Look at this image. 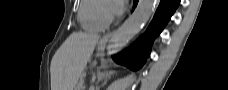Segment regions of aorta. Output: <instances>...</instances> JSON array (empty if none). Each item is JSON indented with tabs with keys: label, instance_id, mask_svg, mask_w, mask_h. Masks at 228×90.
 Returning <instances> with one entry per match:
<instances>
[{
	"label": "aorta",
	"instance_id": "obj_1",
	"mask_svg": "<svg viewBox=\"0 0 228 90\" xmlns=\"http://www.w3.org/2000/svg\"><path fill=\"white\" fill-rule=\"evenodd\" d=\"M157 0H139L133 14L111 35L107 46V54L119 52L143 28L155 11Z\"/></svg>",
	"mask_w": 228,
	"mask_h": 90
}]
</instances>
